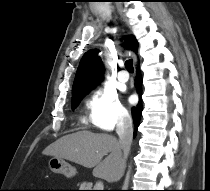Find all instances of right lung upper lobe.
I'll return each mask as SVG.
<instances>
[{"label": "right lung upper lobe", "mask_w": 210, "mask_h": 191, "mask_svg": "<svg viewBox=\"0 0 210 191\" xmlns=\"http://www.w3.org/2000/svg\"><path fill=\"white\" fill-rule=\"evenodd\" d=\"M128 49L137 52L138 43L133 36L125 37ZM103 78V63L98 51L92 49L82 57L72 87V99L88 93Z\"/></svg>", "instance_id": "cb5924a9"}]
</instances>
